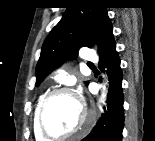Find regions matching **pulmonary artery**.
I'll return each mask as SVG.
<instances>
[{
  "mask_svg": "<svg viewBox=\"0 0 155 141\" xmlns=\"http://www.w3.org/2000/svg\"><path fill=\"white\" fill-rule=\"evenodd\" d=\"M81 56L83 60L88 64H93L97 62L96 56L88 48H82Z\"/></svg>",
  "mask_w": 155,
  "mask_h": 141,
  "instance_id": "pulmonary-artery-1",
  "label": "pulmonary artery"
}]
</instances>
